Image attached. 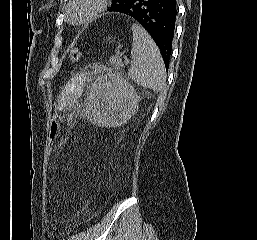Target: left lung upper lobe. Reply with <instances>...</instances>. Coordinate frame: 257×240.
I'll return each mask as SVG.
<instances>
[{"label":"left lung upper lobe","mask_w":257,"mask_h":240,"mask_svg":"<svg viewBox=\"0 0 257 240\" xmlns=\"http://www.w3.org/2000/svg\"><path fill=\"white\" fill-rule=\"evenodd\" d=\"M123 0H112V4L111 7L109 9L115 8L116 6H118ZM108 9V10H109Z\"/></svg>","instance_id":"1"}]
</instances>
